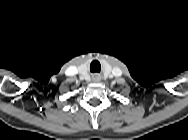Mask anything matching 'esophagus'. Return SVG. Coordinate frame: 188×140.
Here are the masks:
<instances>
[{
  "label": "esophagus",
  "mask_w": 188,
  "mask_h": 140,
  "mask_svg": "<svg viewBox=\"0 0 188 140\" xmlns=\"http://www.w3.org/2000/svg\"><path fill=\"white\" fill-rule=\"evenodd\" d=\"M93 79H94L95 81H99V80H100V75H99V74H94V75H93Z\"/></svg>",
  "instance_id": "esophagus-1"
}]
</instances>
